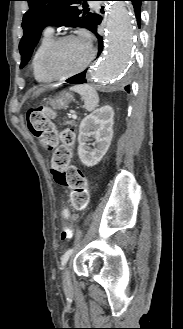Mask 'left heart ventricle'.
<instances>
[{"label":"left heart ventricle","mask_w":183,"mask_h":329,"mask_svg":"<svg viewBox=\"0 0 183 329\" xmlns=\"http://www.w3.org/2000/svg\"><path fill=\"white\" fill-rule=\"evenodd\" d=\"M89 52V46L79 38L63 42L51 58L52 72L59 75L80 68L86 62Z\"/></svg>","instance_id":"b2bd125f"}]
</instances>
